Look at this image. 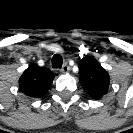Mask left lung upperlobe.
Here are the masks:
<instances>
[{
  "label": "left lung upper lobe",
  "mask_w": 133,
  "mask_h": 133,
  "mask_svg": "<svg viewBox=\"0 0 133 133\" xmlns=\"http://www.w3.org/2000/svg\"><path fill=\"white\" fill-rule=\"evenodd\" d=\"M79 81L84 90L93 98L101 99L109 89L110 78L98 61L90 56L79 62Z\"/></svg>",
  "instance_id": "5c2ea615"
}]
</instances>
